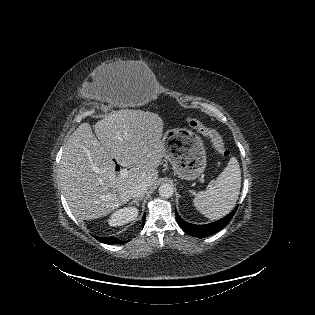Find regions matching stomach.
I'll use <instances>...</instances> for the list:
<instances>
[{"label":"stomach","instance_id":"stomach-1","mask_svg":"<svg viewBox=\"0 0 315 315\" xmlns=\"http://www.w3.org/2000/svg\"><path fill=\"white\" fill-rule=\"evenodd\" d=\"M165 158L180 178L194 180L206 168V150L199 136L186 128L168 130L164 137Z\"/></svg>","mask_w":315,"mask_h":315}]
</instances>
